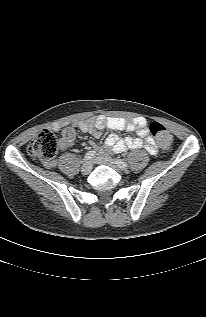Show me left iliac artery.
Returning <instances> with one entry per match:
<instances>
[{"label": "left iliac artery", "instance_id": "44dca946", "mask_svg": "<svg viewBox=\"0 0 206 317\" xmlns=\"http://www.w3.org/2000/svg\"><path fill=\"white\" fill-rule=\"evenodd\" d=\"M116 163L121 169H126L128 167L127 163L121 159H116Z\"/></svg>", "mask_w": 206, "mask_h": 317}]
</instances>
